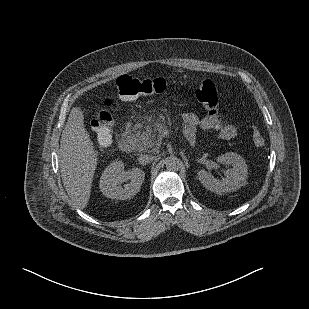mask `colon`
I'll return each mask as SVG.
<instances>
[{"label":"colon","instance_id":"colon-1","mask_svg":"<svg viewBox=\"0 0 309 309\" xmlns=\"http://www.w3.org/2000/svg\"><path fill=\"white\" fill-rule=\"evenodd\" d=\"M170 87L171 85L163 78L143 80L130 76H121L116 81L119 98L126 102L133 101L141 96L163 93ZM195 97L210 116H218L221 113L219 109V94L213 81L209 79L201 81L195 90ZM103 103L106 108L92 117L91 127L97 142L107 146L112 140L114 128V119L109 111L113 105V99L106 97ZM251 136L256 147H264L265 140L257 128L252 129Z\"/></svg>","mask_w":309,"mask_h":309}]
</instances>
